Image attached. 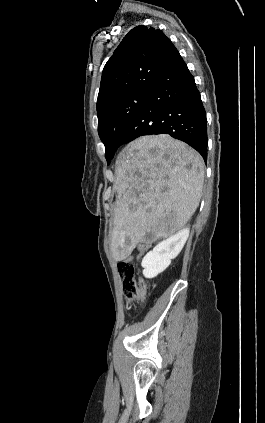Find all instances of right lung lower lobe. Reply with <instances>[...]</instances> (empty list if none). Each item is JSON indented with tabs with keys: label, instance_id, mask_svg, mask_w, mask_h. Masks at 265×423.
Here are the masks:
<instances>
[{
	"label": "right lung lower lobe",
	"instance_id": "right-lung-lower-lobe-1",
	"mask_svg": "<svg viewBox=\"0 0 265 423\" xmlns=\"http://www.w3.org/2000/svg\"><path fill=\"white\" fill-rule=\"evenodd\" d=\"M151 134H169L189 144L207 160L205 109L180 54L151 88L146 101L119 136L117 146Z\"/></svg>",
	"mask_w": 265,
	"mask_h": 423
}]
</instances>
